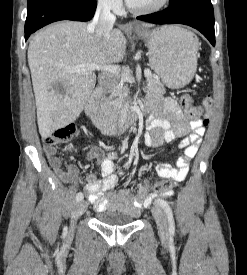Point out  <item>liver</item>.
Masks as SVG:
<instances>
[{
  "label": "liver",
  "mask_w": 247,
  "mask_h": 275,
  "mask_svg": "<svg viewBox=\"0 0 247 275\" xmlns=\"http://www.w3.org/2000/svg\"><path fill=\"white\" fill-rule=\"evenodd\" d=\"M125 54L126 39L119 29L111 31L108 42L99 40L83 22L62 21L39 31L30 41L28 63L41 137L74 122L94 89L93 71L70 72V67L109 66Z\"/></svg>",
  "instance_id": "1"
}]
</instances>
